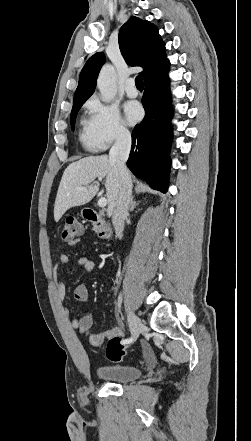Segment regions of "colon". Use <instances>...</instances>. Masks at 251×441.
<instances>
[{
  "label": "colon",
  "instance_id": "5ec220e1",
  "mask_svg": "<svg viewBox=\"0 0 251 441\" xmlns=\"http://www.w3.org/2000/svg\"><path fill=\"white\" fill-rule=\"evenodd\" d=\"M82 231L83 227L77 219L67 218L60 228V239L63 242L73 241L82 234ZM105 354L113 362H120L124 359L126 351L120 337L110 338L105 348Z\"/></svg>",
  "mask_w": 251,
  "mask_h": 441
}]
</instances>
